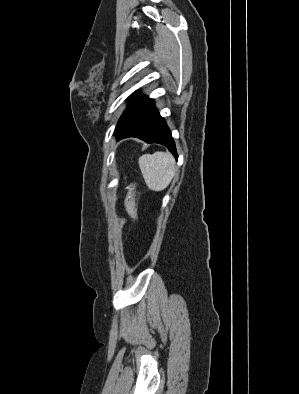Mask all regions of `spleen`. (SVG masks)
Here are the masks:
<instances>
[{
    "instance_id": "spleen-1",
    "label": "spleen",
    "mask_w": 299,
    "mask_h": 394,
    "mask_svg": "<svg viewBox=\"0 0 299 394\" xmlns=\"http://www.w3.org/2000/svg\"><path fill=\"white\" fill-rule=\"evenodd\" d=\"M139 167L148 188L157 192L167 188L175 174V160L164 152L142 155Z\"/></svg>"
}]
</instances>
